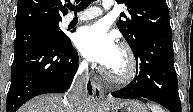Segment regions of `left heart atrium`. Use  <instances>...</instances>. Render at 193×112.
<instances>
[{"label": "left heart atrium", "instance_id": "left-heart-atrium-1", "mask_svg": "<svg viewBox=\"0 0 193 112\" xmlns=\"http://www.w3.org/2000/svg\"><path fill=\"white\" fill-rule=\"evenodd\" d=\"M75 45L86 59L104 66L111 62L118 49L115 38L103 22L82 27L76 34Z\"/></svg>", "mask_w": 193, "mask_h": 112}]
</instances>
